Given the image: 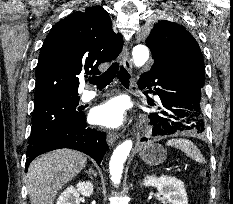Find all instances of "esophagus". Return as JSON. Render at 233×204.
Masks as SVG:
<instances>
[{
  "label": "esophagus",
  "mask_w": 233,
  "mask_h": 204,
  "mask_svg": "<svg viewBox=\"0 0 233 204\" xmlns=\"http://www.w3.org/2000/svg\"><path fill=\"white\" fill-rule=\"evenodd\" d=\"M121 60H122V64L123 66L125 67V69L128 71V72H131L132 71V61L130 59V56H129V49H128V46L125 45L123 47V51H122V54H121ZM118 138V135L114 132H109L107 134V143L109 146H112L115 141L117 140Z\"/></svg>",
  "instance_id": "obj_1"
}]
</instances>
